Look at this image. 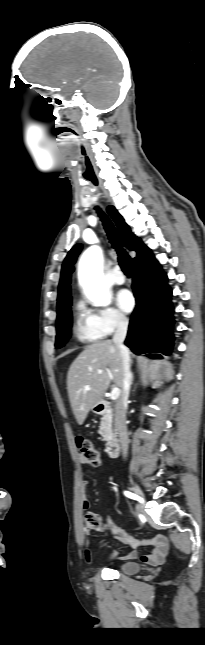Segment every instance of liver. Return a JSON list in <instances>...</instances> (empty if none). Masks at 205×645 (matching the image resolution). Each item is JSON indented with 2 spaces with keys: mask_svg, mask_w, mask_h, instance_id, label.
Masks as SVG:
<instances>
[{
  "mask_svg": "<svg viewBox=\"0 0 205 645\" xmlns=\"http://www.w3.org/2000/svg\"><path fill=\"white\" fill-rule=\"evenodd\" d=\"M111 382L118 387L123 385L118 347L112 340L88 345L73 361L67 374L68 396L79 425L84 423L92 407L102 400Z\"/></svg>",
  "mask_w": 205,
  "mask_h": 645,
  "instance_id": "1",
  "label": "liver"
}]
</instances>
